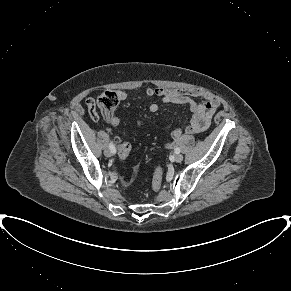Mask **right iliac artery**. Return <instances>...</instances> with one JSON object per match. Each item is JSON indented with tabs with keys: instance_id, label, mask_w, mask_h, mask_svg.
Returning <instances> with one entry per match:
<instances>
[{
	"instance_id": "obj_1",
	"label": "right iliac artery",
	"mask_w": 291,
	"mask_h": 291,
	"mask_svg": "<svg viewBox=\"0 0 291 291\" xmlns=\"http://www.w3.org/2000/svg\"><path fill=\"white\" fill-rule=\"evenodd\" d=\"M109 148H110V150H111L113 153L116 152L115 145H114L112 142L109 144Z\"/></svg>"
}]
</instances>
